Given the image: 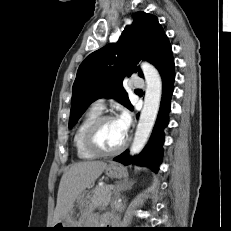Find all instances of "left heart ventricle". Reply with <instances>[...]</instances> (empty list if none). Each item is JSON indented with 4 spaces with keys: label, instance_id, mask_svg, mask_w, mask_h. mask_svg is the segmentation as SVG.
Wrapping results in <instances>:
<instances>
[{
    "label": "left heart ventricle",
    "instance_id": "1",
    "mask_svg": "<svg viewBox=\"0 0 231 231\" xmlns=\"http://www.w3.org/2000/svg\"><path fill=\"white\" fill-rule=\"evenodd\" d=\"M126 135L120 130L116 120L105 122L97 136L98 144L105 150H113L119 147L125 140Z\"/></svg>",
    "mask_w": 231,
    "mask_h": 231
}]
</instances>
